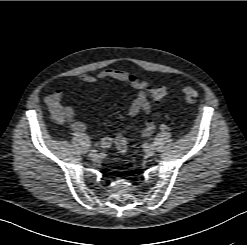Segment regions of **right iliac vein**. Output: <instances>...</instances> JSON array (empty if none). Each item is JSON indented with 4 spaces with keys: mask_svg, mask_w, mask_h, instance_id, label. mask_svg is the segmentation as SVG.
I'll return each mask as SVG.
<instances>
[{
    "mask_svg": "<svg viewBox=\"0 0 247 245\" xmlns=\"http://www.w3.org/2000/svg\"><path fill=\"white\" fill-rule=\"evenodd\" d=\"M97 153L96 152H92V151H90V153H89V157L90 158H92V159H95V158H97Z\"/></svg>",
    "mask_w": 247,
    "mask_h": 245,
    "instance_id": "obj_1",
    "label": "right iliac vein"
}]
</instances>
